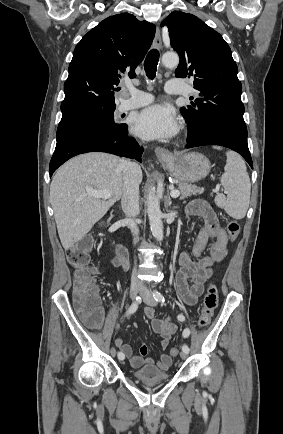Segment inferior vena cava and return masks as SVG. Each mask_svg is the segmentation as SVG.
Listing matches in <instances>:
<instances>
[{
  "label": "inferior vena cava",
  "mask_w": 283,
  "mask_h": 434,
  "mask_svg": "<svg viewBox=\"0 0 283 434\" xmlns=\"http://www.w3.org/2000/svg\"><path fill=\"white\" fill-rule=\"evenodd\" d=\"M123 167V192L121 198V206L123 212L130 218L129 228L134 236V244L138 241L139 229L135 222L132 220L139 214V181L138 174L140 166L131 161H122ZM132 283H138L136 269H133Z\"/></svg>",
  "instance_id": "obj_1"
}]
</instances>
